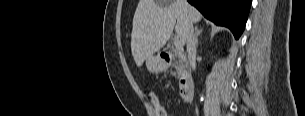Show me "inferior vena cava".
Returning a JSON list of instances; mask_svg holds the SVG:
<instances>
[{"instance_id":"602c4592","label":"inferior vena cava","mask_w":305,"mask_h":116,"mask_svg":"<svg viewBox=\"0 0 305 116\" xmlns=\"http://www.w3.org/2000/svg\"><path fill=\"white\" fill-rule=\"evenodd\" d=\"M187 53H188V59L190 62V66H191L192 70H195L196 41H195V35L193 32L192 23H189L188 29H187Z\"/></svg>"}]
</instances>
